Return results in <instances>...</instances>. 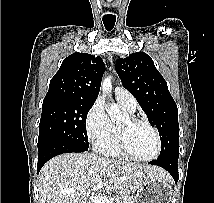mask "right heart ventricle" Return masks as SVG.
I'll use <instances>...</instances> for the list:
<instances>
[{"label":"right heart ventricle","instance_id":"right-heart-ventricle-1","mask_svg":"<svg viewBox=\"0 0 214 203\" xmlns=\"http://www.w3.org/2000/svg\"><path fill=\"white\" fill-rule=\"evenodd\" d=\"M118 102L124 110H126L130 113L134 112V110H130L124 104H122L120 101H118ZM112 125H113V128H112L111 135L105 141H103L102 143L97 145V150L106 156L114 157V158H121L124 155L120 150L119 142H118L119 124L112 123Z\"/></svg>","mask_w":214,"mask_h":203}]
</instances>
